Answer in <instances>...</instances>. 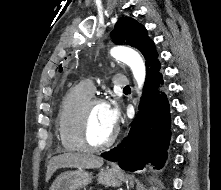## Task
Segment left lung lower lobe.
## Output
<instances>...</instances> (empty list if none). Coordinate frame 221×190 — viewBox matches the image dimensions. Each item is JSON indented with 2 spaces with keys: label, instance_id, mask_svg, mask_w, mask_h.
I'll return each mask as SVG.
<instances>
[{
  "label": "left lung lower lobe",
  "instance_id": "1",
  "mask_svg": "<svg viewBox=\"0 0 221 190\" xmlns=\"http://www.w3.org/2000/svg\"><path fill=\"white\" fill-rule=\"evenodd\" d=\"M160 68L157 60L146 70L139 114L132 122L128 136L119 146L101 154L107 160H118L125 171L143 169L148 161L154 169H160L167 159L171 117Z\"/></svg>",
  "mask_w": 221,
  "mask_h": 190
}]
</instances>
